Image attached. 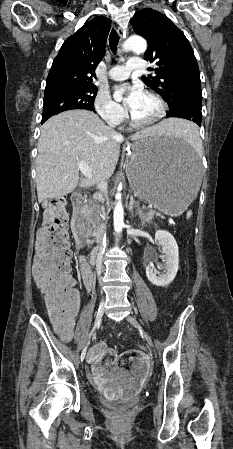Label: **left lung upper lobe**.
<instances>
[{
    "label": "left lung upper lobe",
    "instance_id": "obj_1",
    "mask_svg": "<svg viewBox=\"0 0 233 449\" xmlns=\"http://www.w3.org/2000/svg\"><path fill=\"white\" fill-rule=\"evenodd\" d=\"M130 23L148 42L144 59L157 65L150 69L155 77L142 76L141 80L165 99L167 113L186 112L192 121L196 112L201 113L202 92L198 64L184 33L150 8L137 11Z\"/></svg>",
    "mask_w": 233,
    "mask_h": 449
}]
</instances>
